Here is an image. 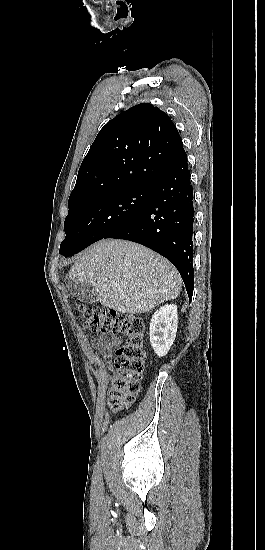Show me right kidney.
Instances as JSON below:
<instances>
[{
  "label": "right kidney",
  "instance_id": "obj_1",
  "mask_svg": "<svg viewBox=\"0 0 265 550\" xmlns=\"http://www.w3.org/2000/svg\"><path fill=\"white\" fill-rule=\"evenodd\" d=\"M178 314L176 305H165L157 310L150 322V343L154 352L165 356L176 337Z\"/></svg>",
  "mask_w": 265,
  "mask_h": 550
}]
</instances>
